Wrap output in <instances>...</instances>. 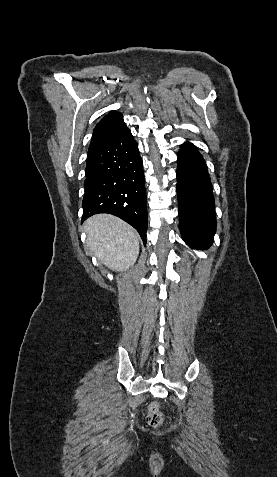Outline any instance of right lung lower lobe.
Returning <instances> with one entry per match:
<instances>
[{
  "label": "right lung lower lobe",
  "mask_w": 277,
  "mask_h": 477,
  "mask_svg": "<svg viewBox=\"0 0 277 477\" xmlns=\"http://www.w3.org/2000/svg\"><path fill=\"white\" fill-rule=\"evenodd\" d=\"M85 176L82 221L98 213L113 214L132 225L146 245L143 163L128 128L107 144L88 151Z\"/></svg>",
  "instance_id": "98d812e1"
}]
</instances>
